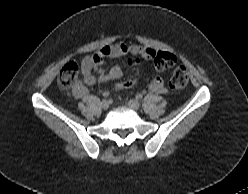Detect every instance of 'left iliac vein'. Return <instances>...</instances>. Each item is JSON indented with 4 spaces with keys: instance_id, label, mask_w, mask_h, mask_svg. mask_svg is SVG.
<instances>
[{
    "instance_id": "left-iliac-vein-1",
    "label": "left iliac vein",
    "mask_w": 248,
    "mask_h": 194,
    "mask_svg": "<svg viewBox=\"0 0 248 194\" xmlns=\"http://www.w3.org/2000/svg\"><path fill=\"white\" fill-rule=\"evenodd\" d=\"M128 106L134 110H138L140 108V103L135 99H131L128 101Z\"/></svg>"
}]
</instances>
